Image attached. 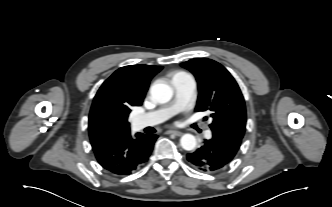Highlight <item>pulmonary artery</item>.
I'll return each mask as SVG.
<instances>
[{
	"instance_id": "1",
	"label": "pulmonary artery",
	"mask_w": 332,
	"mask_h": 207,
	"mask_svg": "<svg viewBox=\"0 0 332 207\" xmlns=\"http://www.w3.org/2000/svg\"><path fill=\"white\" fill-rule=\"evenodd\" d=\"M175 99L170 106L140 115L135 118L137 128L154 126L164 122L173 114L183 110L193 100L195 94V81L191 76L178 78L173 82ZM205 137H211V131L205 132Z\"/></svg>"
}]
</instances>
